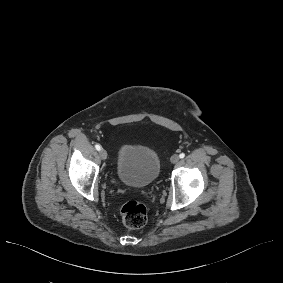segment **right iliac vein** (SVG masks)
<instances>
[{
	"mask_svg": "<svg viewBox=\"0 0 283 283\" xmlns=\"http://www.w3.org/2000/svg\"><path fill=\"white\" fill-rule=\"evenodd\" d=\"M99 154H100V157H101V159L102 160H106L107 159V152H106V150L105 149H100L99 150Z\"/></svg>",
	"mask_w": 283,
	"mask_h": 283,
	"instance_id": "right-iliac-vein-1",
	"label": "right iliac vein"
}]
</instances>
